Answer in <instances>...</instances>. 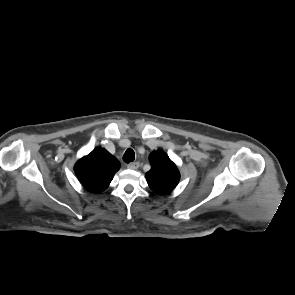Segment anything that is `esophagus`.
Masks as SVG:
<instances>
[{"mask_svg": "<svg viewBox=\"0 0 295 295\" xmlns=\"http://www.w3.org/2000/svg\"><path fill=\"white\" fill-rule=\"evenodd\" d=\"M127 168L131 169V170H136V169L139 168V163L138 162L130 163V164L127 165Z\"/></svg>", "mask_w": 295, "mask_h": 295, "instance_id": "esophagus-1", "label": "esophagus"}]
</instances>
